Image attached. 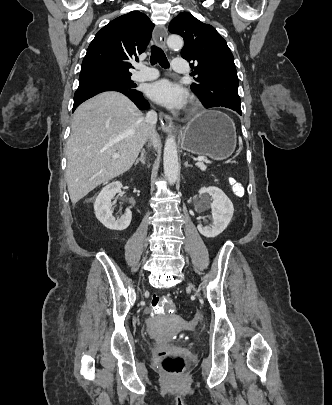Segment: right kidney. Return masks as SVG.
Listing matches in <instances>:
<instances>
[{
    "label": "right kidney",
    "instance_id": "obj_1",
    "mask_svg": "<svg viewBox=\"0 0 332 405\" xmlns=\"http://www.w3.org/2000/svg\"><path fill=\"white\" fill-rule=\"evenodd\" d=\"M122 184L119 181L111 182L106 185L94 202V211L96 218L108 229L123 231L131 223L132 212L127 209L120 218H115L111 210V199L121 192Z\"/></svg>",
    "mask_w": 332,
    "mask_h": 405
}]
</instances>
